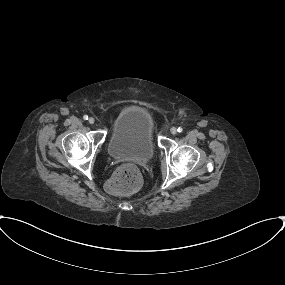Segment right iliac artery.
<instances>
[{
    "label": "right iliac artery",
    "mask_w": 285,
    "mask_h": 285,
    "mask_svg": "<svg viewBox=\"0 0 285 285\" xmlns=\"http://www.w3.org/2000/svg\"><path fill=\"white\" fill-rule=\"evenodd\" d=\"M83 119H84V120H88V115H84V116H83Z\"/></svg>",
    "instance_id": "82829eb1"
}]
</instances>
